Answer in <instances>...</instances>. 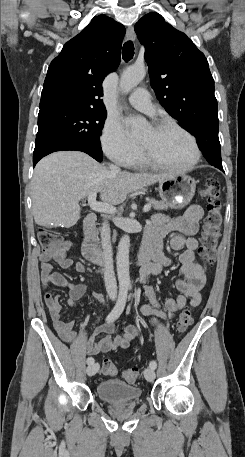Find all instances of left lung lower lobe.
Listing matches in <instances>:
<instances>
[{
	"instance_id": "left-lung-lower-lobe-1",
	"label": "left lung lower lobe",
	"mask_w": 245,
	"mask_h": 457,
	"mask_svg": "<svg viewBox=\"0 0 245 457\" xmlns=\"http://www.w3.org/2000/svg\"><path fill=\"white\" fill-rule=\"evenodd\" d=\"M218 124L211 123L207 126L200 127L192 132L198 142V146L209 164L214 165L222 170L221 149L218 138ZM224 172V171H223Z\"/></svg>"
}]
</instances>
